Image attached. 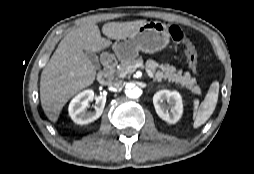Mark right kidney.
<instances>
[{"instance_id": "right-kidney-1", "label": "right kidney", "mask_w": 254, "mask_h": 174, "mask_svg": "<svg viewBox=\"0 0 254 174\" xmlns=\"http://www.w3.org/2000/svg\"><path fill=\"white\" fill-rule=\"evenodd\" d=\"M95 99V111L86 112L89 102ZM106 103L105 96L95 97L94 91L91 89L84 90L76 95L69 104V115L71 119L80 125L91 123L97 120L103 113Z\"/></svg>"}]
</instances>
